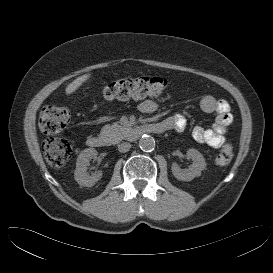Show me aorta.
<instances>
[{"instance_id":"aorta-1","label":"aorta","mask_w":273,"mask_h":273,"mask_svg":"<svg viewBox=\"0 0 273 273\" xmlns=\"http://www.w3.org/2000/svg\"><path fill=\"white\" fill-rule=\"evenodd\" d=\"M139 147L141 150L149 152L155 148V140L150 135H143L139 140Z\"/></svg>"}]
</instances>
